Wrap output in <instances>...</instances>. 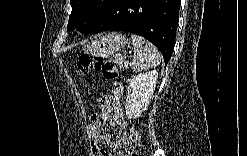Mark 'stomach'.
Segmentation results:
<instances>
[{"instance_id":"obj_1","label":"stomach","mask_w":247,"mask_h":156,"mask_svg":"<svg viewBox=\"0 0 247 156\" xmlns=\"http://www.w3.org/2000/svg\"><path fill=\"white\" fill-rule=\"evenodd\" d=\"M127 43L125 35L111 32L92 41L87 52L93 56L108 57L124 47Z\"/></svg>"}]
</instances>
